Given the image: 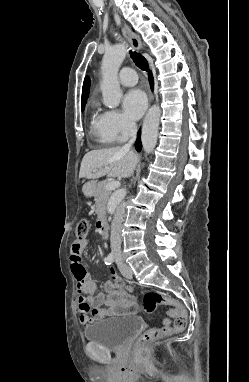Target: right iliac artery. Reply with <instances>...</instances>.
Instances as JSON below:
<instances>
[{"instance_id": "82829eb1", "label": "right iliac artery", "mask_w": 249, "mask_h": 382, "mask_svg": "<svg viewBox=\"0 0 249 382\" xmlns=\"http://www.w3.org/2000/svg\"><path fill=\"white\" fill-rule=\"evenodd\" d=\"M105 264L110 265L114 261L113 253H110L105 259Z\"/></svg>"}]
</instances>
